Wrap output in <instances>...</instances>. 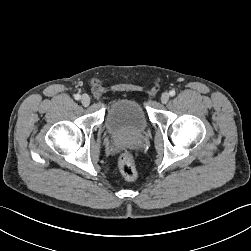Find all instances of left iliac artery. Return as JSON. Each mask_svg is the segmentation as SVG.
<instances>
[{"label":"left iliac artery","mask_w":251,"mask_h":251,"mask_svg":"<svg viewBox=\"0 0 251 251\" xmlns=\"http://www.w3.org/2000/svg\"><path fill=\"white\" fill-rule=\"evenodd\" d=\"M169 94H170V96H174V95L176 94V92H175V90H171V91L169 92Z\"/></svg>","instance_id":"obj_1"}]
</instances>
